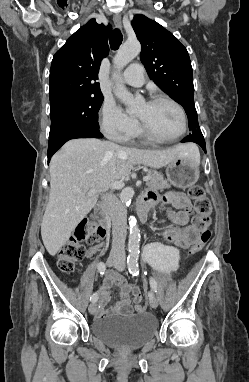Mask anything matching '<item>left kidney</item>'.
Instances as JSON below:
<instances>
[{
	"label": "left kidney",
	"instance_id": "1",
	"mask_svg": "<svg viewBox=\"0 0 249 382\" xmlns=\"http://www.w3.org/2000/svg\"><path fill=\"white\" fill-rule=\"evenodd\" d=\"M155 245L143 246V267H153L160 273H174L180 276V257L177 245H162L161 240H156Z\"/></svg>",
	"mask_w": 249,
	"mask_h": 382
}]
</instances>
